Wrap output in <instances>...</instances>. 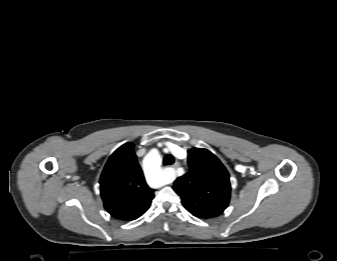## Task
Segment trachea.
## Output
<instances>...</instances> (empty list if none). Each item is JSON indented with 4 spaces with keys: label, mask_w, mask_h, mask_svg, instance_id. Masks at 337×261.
Returning a JSON list of instances; mask_svg holds the SVG:
<instances>
[{
    "label": "trachea",
    "mask_w": 337,
    "mask_h": 261,
    "mask_svg": "<svg viewBox=\"0 0 337 261\" xmlns=\"http://www.w3.org/2000/svg\"><path fill=\"white\" fill-rule=\"evenodd\" d=\"M174 163V157L171 155H166L163 159V164L164 165H171Z\"/></svg>",
    "instance_id": "3493384b"
}]
</instances>
